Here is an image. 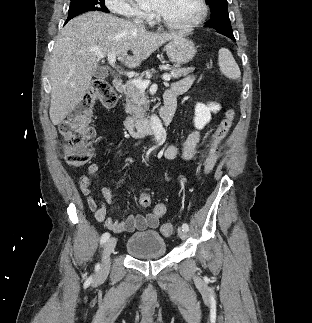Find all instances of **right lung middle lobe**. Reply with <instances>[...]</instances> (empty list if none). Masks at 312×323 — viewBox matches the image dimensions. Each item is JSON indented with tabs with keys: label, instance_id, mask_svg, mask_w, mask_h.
<instances>
[{
	"label": "right lung middle lobe",
	"instance_id": "dd1d6c3e",
	"mask_svg": "<svg viewBox=\"0 0 312 323\" xmlns=\"http://www.w3.org/2000/svg\"><path fill=\"white\" fill-rule=\"evenodd\" d=\"M108 12L104 0H71L67 21L87 11Z\"/></svg>",
	"mask_w": 312,
	"mask_h": 323
}]
</instances>
